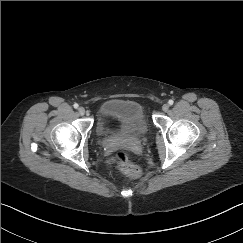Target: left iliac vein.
I'll return each mask as SVG.
<instances>
[{
  "label": "left iliac vein",
  "mask_w": 243,
  "mask_h": 243,
  "mask_svg": "<svg viewBox=\"0 0 243 243\" xmlns=\"http://www.w3.org/2000/svg\"><path fill=\"white\" fill-rule=\"evenodd\" d=\"M168 109H169V105H168V104H164V105L162 106V110H163L164 112L168 111Z\"/></svg>",
  "instance_id": "4c4485c4"
}]
</instances>
